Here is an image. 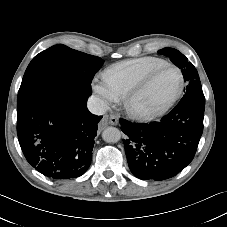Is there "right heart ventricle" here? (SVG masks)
<instances>
[{"mask_svg":"<svg viewBox=\"0 0 227 227\" xmlns=\"http://www.w3.org/2000/svg\"><path fill=\"white\" fill-rule=\"evenodd\" d=\"M166 64L168 62L162 58L143 57L115 64L103 76L119 98L125 96L153 70Z\"/></svg>","mask_w":227,"mask_h":227,"instance_id":"1","label":"right heart ventricle"}]
</instances>
